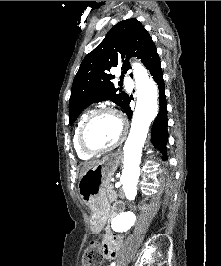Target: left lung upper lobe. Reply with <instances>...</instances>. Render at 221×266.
I'll list each match as a JSON object with an SVG mask.
<instances>
[{
    "label": "left lung upper lobe",
    "mask_w": 221,
    "mask_h": 266,
    "mask_svg": "<svg viewBox=\"0 0 221 266\" xmlns=\"http://www.w3.org/2000/svg\"><path fill=\"white\" fill-rule=\"evenodd\" d=\"M130 56L141 59L148 70L160 61L151 36L135 18L123 20L112 27L103 41L82 61L72 84L70 124L94 102L109 99L124 110L129 97L115 88L110 81L114 77L109 71L112 67H121L120 78L123 79V74L130 69Z\"/></svg>",
    "instance_id": "left-lung-upper-lobe-1"
}]
</instances>
